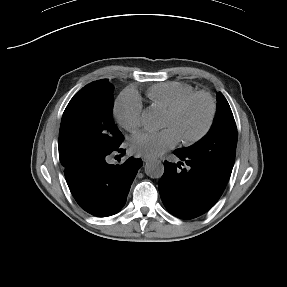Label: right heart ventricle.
Wrapping results in <instances>:
<instances>
[{
    "label": "right heart ventricle",
    "instance_id": "e07e8e85",
    "mask_svg": "<svg viewBox=\"0 0 287 287\" xmlns=\"http://www.w3.org/2000/svg\"><path fill=\"white\" fill-rule=\"evenodd\" d=\"M192 92H194L193 87L187 83L168 81L151 86L147 90V96L152 107L166 112Z\"/></svg>",
    "mask_w": 287,
    "mask_h": 287
}]
</instances>
